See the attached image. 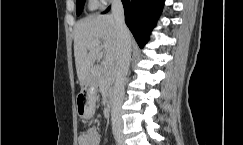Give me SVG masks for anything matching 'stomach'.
<instances>
[{
	"label": "stomach",
	"mask_w": 243,
	"mask_h": 145,
	"mask_svg": "<svg viewBox=\"0 0 243 145\" xmlns=\"http://www.w3.org/2000/svg\"><path fill=\"white\" fill-rule=\"evenodd\" d=\"M81 88V93L78 94L77 102V112L81 117L93 116L92 107L96 103L95 92L96 85L86 81L83 83Z\"/></svg>",
	"instance_id": "obj_1"
}]
</instances>
